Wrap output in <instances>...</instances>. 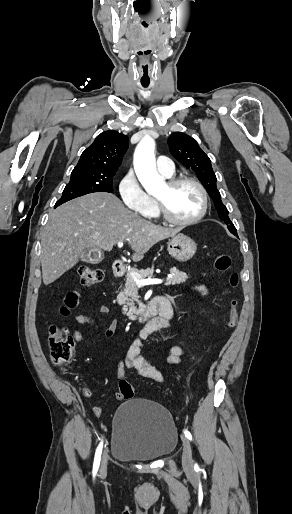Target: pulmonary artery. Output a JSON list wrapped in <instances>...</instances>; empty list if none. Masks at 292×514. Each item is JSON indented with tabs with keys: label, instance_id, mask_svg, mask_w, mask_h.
I'll return each mask as SVG.
<instances>
[{
	"label": "pulmonary artery",
	"instance_id": "1",
	"mask_svg": "<svg viewBox=\"0 0 292 514\" xmlns=\"http://www.w3.org/2000/svg\"><path fill=\"white\" fill-rule=\"evenodd\" d=\"M159 172L166 178L173 177L175 168L172 164V159L169 156H162L159 160Z\"/></svg>",
	"mask_w": 292,
	"mask_h": 514
}]
</instances>
